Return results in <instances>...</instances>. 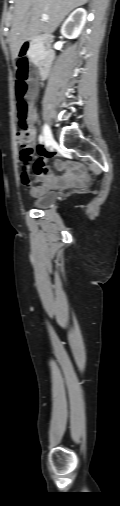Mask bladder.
<instances>
[{
    "label": "bladder",
    "mask_w": 120,
    "mask_h": 506,
    "mask_svg": "<svg viewBox=\"0 0 120 506\" xmlns=\"http://www.w3.org/2000/svg\"><path fill=\"white\" fill-rule=\"evenodd\" d=\"M58 194L56 192H48L35 198L31 204L38 209H45L55 203Z\"/></svg>",
    "instance_id": "1"
}]
</instances>
